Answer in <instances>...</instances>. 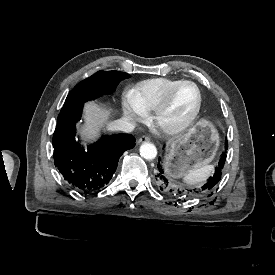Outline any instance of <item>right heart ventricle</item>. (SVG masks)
Returning a JSON list of instances; mask_svg holds the SVG:
<instances>
[{"label": "right heart ventricle", "instance_id": "1", "mask_svg": "<svg viewBox=\"0 0 275 275\" xmlns=\"http://www.w3.org/2000/svg\"><path fill=\"white\" fill-rule=\"evenodd\" d=\"M177 80L155 78L140 83L132 92L136 105L146 113L155 111L169 88Z\"/></svg>", "mask_w": 275, "mask_h": 275}]
</instances>
